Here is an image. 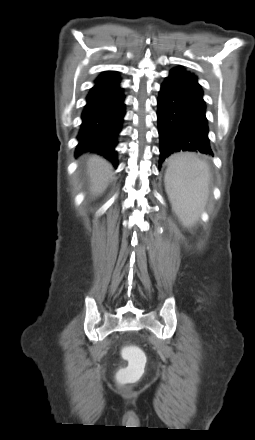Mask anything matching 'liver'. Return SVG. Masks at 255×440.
I'll return each mask as SVG.
<instances>
[{"label": "liver", "mask_w": 255, "mask_h": 440, "mask_svg": "<svg viewBox=\"0 0 255 440\" xmlns=\"http://www.w3.org/2000/svg\"><path fill=\"white\" fill-rule=\"evenodd\" d=\"M112 165L97 155L89 157L87 173L90 180V192L93 195L102 193L112 177Z\"/></svg>", "instance_id": "liver-1"}]
</instances>
